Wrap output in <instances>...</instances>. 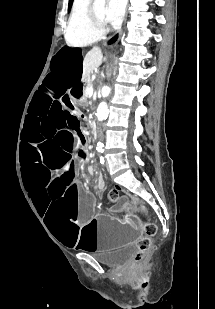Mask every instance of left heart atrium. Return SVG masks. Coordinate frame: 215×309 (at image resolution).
Returning a JSON list of instances; mask_svg holds the SVG:
<instances>
[{
	"instance_id": "left-heart-atrium-1",
	"label": "left heart atrium",
	"mask_w": 215,
	"mask_h": 309,
	"mask_svg": "<svg viewBox=\"0 0 215 309\" xmlns=\"http://www.w3.org/2000/svg\"><path fill=\"white\" fill-rule=\"evenodd\" d=\"M107 6L110 8L105 12V17L100 18V20H109V24L119 21L122 12H126V5H123V0H108Z\"/></svg>"
}]
</instances>
